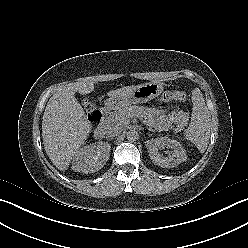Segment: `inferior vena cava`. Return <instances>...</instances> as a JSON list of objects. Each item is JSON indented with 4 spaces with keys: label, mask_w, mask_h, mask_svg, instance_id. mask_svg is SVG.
I'll use <instances>...</instances> for the list:
<instances>
[{
    "label": "inferior vena cava",
    "mask_w": 248,
    "mask_h": 248,
    "mask_svg": "<svg viewBox=\"0 0 248 248\" xmlns=\"http://www.w3.org/2000/svg\"><path fill=\"white\" fill-rule=\"evenodd\" d=\"M123 131L120 126H110L106 129L105 134L107 137H115L121 134Z\"/></svg>",
    "instance_id": "602c4592"
}]
</instances>
